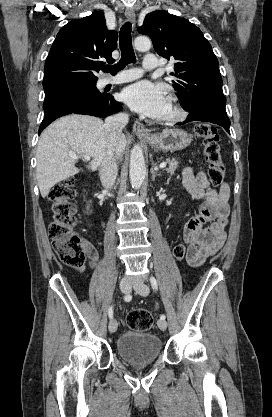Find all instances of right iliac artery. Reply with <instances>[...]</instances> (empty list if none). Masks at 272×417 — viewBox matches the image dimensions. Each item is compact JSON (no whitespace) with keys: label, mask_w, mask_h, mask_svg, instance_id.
I'll use <instances>...</instances> for the list:
<instances>
[{"label":"right iliac artery","mask_w":272,"mask_h":417,"mask_svg":"<svg viewBox=\"0 0 272 417\" xmlns=\"http://www.w3.org/2000/svg\"><path fill=\"white\" fill-rule=\"evenodd\" d=\"M131 299H132V296H131L130 294H127V295H125V296H124V300H125L126 302L131 301ZM108 315H109V318H110V319H112V318H113V309H112V307H110V308L108 309Z\"/></svg>","instance_id":"right-iliac-artery-1"}]
</instances>
